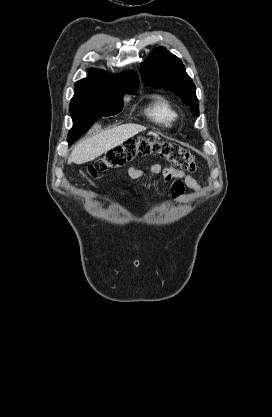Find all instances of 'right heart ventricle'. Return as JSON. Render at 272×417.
I'll return each instance as SVG.
<instances>
[{
    "instance_id": "e07e8e85",
    "label": "right heart ventricle",
    "mask_w": 272,
    "mask_h": 417,
    "mask_svg": "<svg viewBox=\"0 0 272 417\" xmlns=\"http://www.w3.org/2000/svg\"><path fill=\"white\" fill-rule=\"evenodd\" d=\"M145 114L152 122L165 127H172L178 120V113L172 103L162 95L154 96Z\"/></svg>"
}]
</instances>
